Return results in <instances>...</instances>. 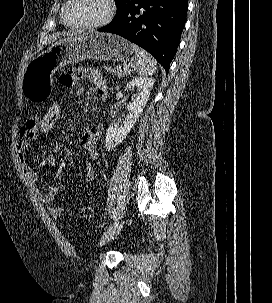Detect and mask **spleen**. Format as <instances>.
Returning <instances> with one entry per match:
<instances>
[{"instance_id": "spleen-1", "label": "spleen", "mask_w": 272, "mask_h": 303, "mask_svg": "<svg viewBox=\"0 0 272 303\" xmlns=\"http://www.w3.org/2000/svg\"><path fill=\"white\" fill-rule=\"evenodd\" d=\"M132 48L137 55L134 69L141 76H149L156 73V60L144 49L132 44Z\"/></svg>"}]
</instances>
